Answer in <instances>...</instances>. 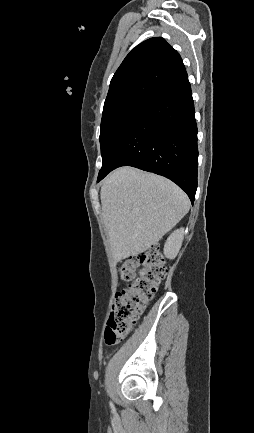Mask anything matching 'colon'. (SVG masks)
<instances>
[{"instance_id":"1","label":"colon","mask_w":254,"mask_h":433,"mask_svg":"<svg viewBox=\"0 0 254 433\" xmlns=\"http://www.w3.org/2000/svg\"><path fill=\"white\" fill-rule=\"evenodd\" d=\"M118 274L126 287L116 295L105 331V343H120L133 329L166 275L164 258L155 247L123 260Z\"/></svg>"}]
</instances>
